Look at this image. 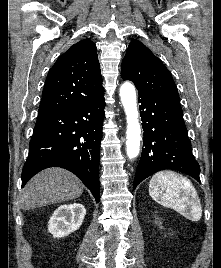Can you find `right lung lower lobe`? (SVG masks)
Returning a JSON list of instances; mask_svg holds the SVG:
<instances>
[{
  "mask_svg": "<svg viewBox=\"0 0 221 268\" xmlns=\"http://www.w3.org/2000/svg\"><path fill=\"white\" fill-rule=\"evenodd\" d=\"M104 94L90 102L39 113L22 170V187L39 171L62 167L73 172L99 202V156Z\"/></svg>",
  "mask_w": 221,
  "mask_h": 268,
  "instance_id": "98d812e1",
  "label": "right lung lower lobe"
}]
</instances>
